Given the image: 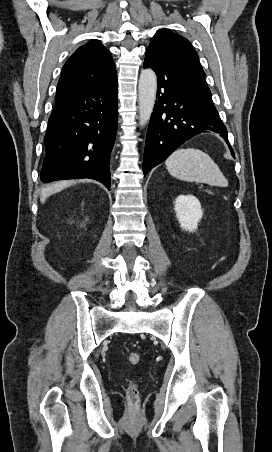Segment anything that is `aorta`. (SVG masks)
<instances>
[{
  "instance_id": "obj_1",
  "label": "aorta",
  "mask_w": 272,
  "mask_h": 452,
  "mask_svg": "<svg viewBox=\"0 0 272 452\" xmlns=\"http://www.w3.org/2000/svg\"><path fill=\"white\" fill-rule=\"evenodd\" d=\"M157 78L152 69L141 71L138 83L139 124L144 126L150 120L156 100Z\"/></svg>"
}]
</instances>
